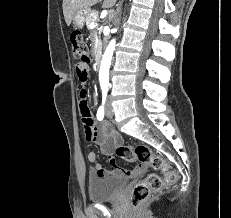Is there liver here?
Wrapping results in <instances>:
<instances>
[{"label":"liver","instance_id":"1","mask_svg":"<svg viewBox=\"0 0 231 218\" xmlns=\"http://www.w3.org/2000/svg\"><path fill=\"white\" fill-rule=\"evenodd\" d=\"M101 0H63V14L67 26L71 24L74 14L81 9H89ZM116 0H104L102 7L111 8Z\"/></svg>","mask_w":231,"mask_h":218}]
</instances>
